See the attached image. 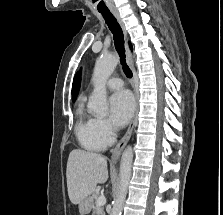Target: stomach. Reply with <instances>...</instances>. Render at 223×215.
Instances as JSON below:
<instances>
[{
    "label": "stomach",
    "mask_w": 223,
    "mask_h": 215,
    "mask_svg": "<svg viewBox=\"0 0 223 215\" xmlns=\"http://www.w3.org/2000/svg\"><path fill=\"white\" fill-rule=\"evenodd\" d=\"M90 206L91 202H89V199H82L79 203L80 213H89V211H91Z\"/></svg>",
    "instance_id": "obj_1"
}]
</instances>
